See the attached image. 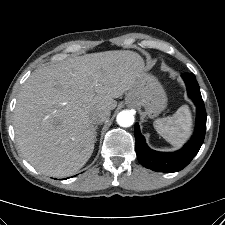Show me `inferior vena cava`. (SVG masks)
Wrapping results in <instances>:
<instances>
[{
    "label": "inferior vena cava",
    "mask_w": 225,
    "mask_h": 225,
    "mask_svg": "<svg viewBox=\"0 0 225 225\" xmlns=\"http://www.w3.org/2000/svg\"><path fill=\"white\" fill-rule=\"evenodd\" d=\"M110 116V110L107 108H97L91 114V121L93 124H100L106 121Z\"/></svg>",
    "instance_id": "1"
}]
</instances>
